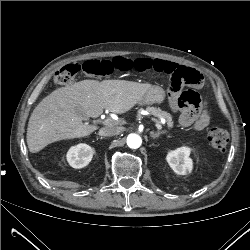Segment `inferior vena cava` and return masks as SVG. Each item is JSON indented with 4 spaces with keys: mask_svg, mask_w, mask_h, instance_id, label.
<instances>
[{
    "mask_svg": "<svg viewBox=\"0 0 250 250\" xmlns=\"http://www.w3.org/2000/svg\"><path fill=\"white\" fill-rule=\"evenodd\" d=\"M120 133V128L118 127H104L99 130L100 136H114Z\"/></svg>",
    "mask_w": 250,
    "mask_h": 250,
    "instance_id": "1",
    "label": "inferior vena cava"
}]
</instances>
